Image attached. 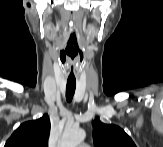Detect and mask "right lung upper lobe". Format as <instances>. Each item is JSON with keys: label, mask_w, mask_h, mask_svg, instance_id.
<instances>
[{"label": "right lung upper lobe", "mask_w": 163, "mask_h": 147, "mask_svg": "<svg viewBox=\"0 0 163 147\" xmlns=\"http://www.w3.org/2000/svg\"><path fill=\"white\" fill-rule=\"evenodd\" d=\"M50 120L47 114L40 119L22 123L7 140L5 147H47Z\"/></svg>", "instance_id": "1"}]
</instances>
